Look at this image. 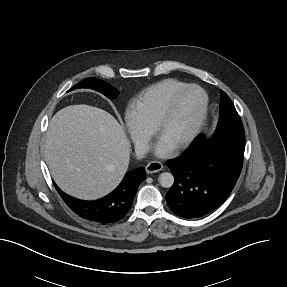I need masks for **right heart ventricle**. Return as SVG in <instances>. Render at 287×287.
Returning a JSON list of instances; mask_svg holds the SVG:
<instances>
[{"label": "right heart ventricle", "instance_id": "obj_1", "mask_svg": "<svg viewBox=\"0 0 287 287\" xmlns=\"http://www.w3.org/2000/svg\"><path fill=\"white\" fill-rule=\"evenodd\" d=\"M187 84L165 79L145 90L132 102L129 113L146 129L153 130L170 97Z\"/></svg>", "mask_w": 287, "mask_h": 287}]
</instances>
